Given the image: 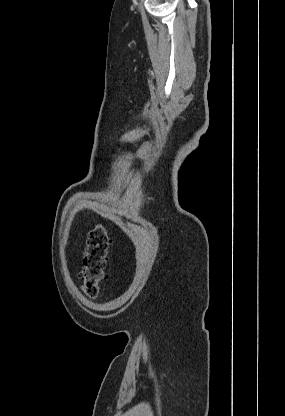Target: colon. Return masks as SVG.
<instances>
[{
    "label": "colon",
    "mask_w": 285,
    "mask_h": 416,
    "mask_svg": "<svg viewBox=\"0 0 285 416\" xmlns=\"http://www.w3.org/2000/svg\"><path fill=\"white\" fill-rule=\"evenodd\" d=\"M109 246L110 238L106 228L102 225L95 226L87 237L82 270V288L91 298L98 296L100 284L105 278Z\"/></svg>",
    "instance_id": "colon-1"
}]
</instances>
